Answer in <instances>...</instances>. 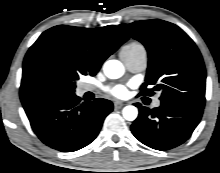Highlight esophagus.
Here are the masks:
<instances>
[{
  "mask_svg": "<svg viewBox=\"0 0 220 173\" xmlns=\"http://www.w3.org/2000/svg\"><path fill=\"white\" fill-rule=\"evenodd\" d=\"M124 106V103L122 102V101H115L114 102V107H115V109H120V108H122Z\"/></svg>",
  "mask_w": 220,
  "mask_h": 173,
  "instance_id": "1",
  "label": "esophagus"
}]
</instances>
